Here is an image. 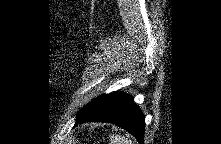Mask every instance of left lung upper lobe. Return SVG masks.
Returning <instances> with one entry per match:
<instances>
[{
    "label": "left lung upper lobe",
    "instance_id": "5c2ea615",
    "mask_svg": "<svg viewBox=\"0 0 221 144\" xmlns=\"http://www.w3.org/2000/svg\"><path fill=\"white\" fill-rule=\"evenodd\" d=\"M104 95H101L94 99L92 102L88 103L77 115V117H80L81 115H84L86 112H88L90 109H92L97 103H99Z\"/></svg>",
    "mask_w": 221,
    "mask_h": 144
}]
</instances>
